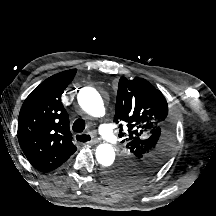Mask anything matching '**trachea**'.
<instances>
[{"label": "trachea", "mask_w": 216, "mask_h": 216, "mask_svg": "<svg viewBox=\"0 0 216 216\" xmlns=\"http://www.w3.org/2000/svg\"><path fill=\"white\" fill-rule=\"evenodd\" d=\"M85 126H86V123H85V121L83 119H77L73 123L72 129H73L74 132L81 133V132L84 131ZM77 140H79L80 142L88 141V139L84 138V136H79L77 138Z\"/></svg>", "instance_id": "1"}]
</instances>
